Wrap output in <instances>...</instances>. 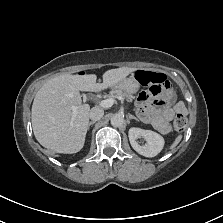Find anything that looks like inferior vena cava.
<instances>
[{"label":"inferior vena cava","mask_w":223,"mask_h":223,"mask_svg":"<svg viewBox=\"0 0 223 223\" xmlns=\"http://www.w3.org/2000/svg\"><path fill=\"white\" fill-rule=\"evenodd\" d=\"M103 115H104L103 108L96 107V106L92 107L89 112V117L94 121L101 119L103 117Z\"/></svg>","instance_id":"1"}]
</instances>
